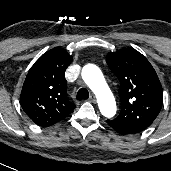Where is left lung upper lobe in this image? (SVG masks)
Segmentation results:
<instances>
[{"mask_svg": "<svg viewBox=\"0 0 171 171\" xmlns=\"http://www.w3.org/2000/svg\"><path fill=\"white\" fill-rule=\"evenodd\" d=\"M107 63L120 80L121 111L112 124L151 125L162 108L163 90L150 62L137 50L125 48L108 53Z\"/></svg>", "mask_w": 171, "mask_h": 171, "instance_id": "5c2ea615", "label": "left lung upper lobe"}]
</instances>
